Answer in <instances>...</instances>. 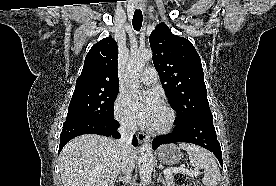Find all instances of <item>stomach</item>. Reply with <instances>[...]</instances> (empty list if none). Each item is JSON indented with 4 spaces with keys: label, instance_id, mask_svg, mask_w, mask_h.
<instances>
[{
    "label": "stomach",
    "instance_id": "1",
    "mask_svg": "<svg viewBox=\"0 0 276 186\" xmlns=\"http://www.w3.org/2000/svg\"><path fill=\"white\" fill-rule=\"evenodd\" d=\"M158 159L164 165L173 166L182 159V152L175 144H167L158 150Z\"/></svg>",
    "mask_w": 276,
    "mask_h": 186
}]
</instances>
